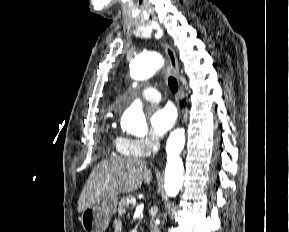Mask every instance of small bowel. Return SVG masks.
<instances>
[{
	"mask_svg": "<svg viewBox=\"0 0 289 232\" xmlns=\"http://www.w3.org/2000/svg\"><path fill=\"white\" fill-rule=\"evenodd\" d=\"M122 231V223L120 221L114 222V232H121Z\"/></svg>",
	"mask_w": 289,
	"mask_h": 232,
	"instance_id": "small-bowel-1",
	"label": "small bowel"
}]
</instances>
